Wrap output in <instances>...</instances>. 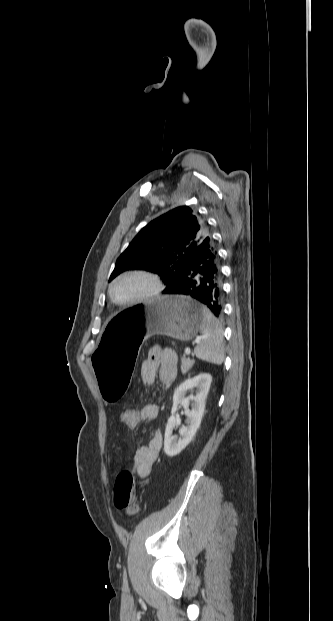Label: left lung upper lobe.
Listing matches in <instances>:
<instances>
[{"label": "left lung upper lobe", "instance_id": "left-lung-upper-lobe-1", "mask_svg": "<svg viewBox=\"0 0 333 621\" xmlns=\"http://www.w3.org/2000/svg\"><path fill=\"white\" fill-rule=\"evenodd\" d=\"M209 236L207 222L196 211L188 206L170 210L141 229L117 259L109 281L126 270L141 269L158 274L168 288Z\"/></svg>", "mask_w": 333, "mask_h": 621}]
</instances>
